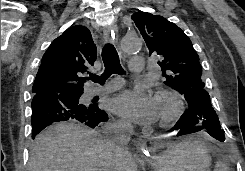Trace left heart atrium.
<instances>
[{
	"label": "left heart atrium",
	"mask_w": 245,
	"mask_h": 171,
	"mask_svg": "<svg viewBox=\"0 0 245 171\" xmlns=\"http://www.w3.org/2000/svg\"><path fill=\"white\" fill-rule=\"evenodd\" d=\"M111 109L137 124H146L159 118L157 99L143 87L125 90L111 101Z\"/></svg>",
	"instance_id": "1"
}]
</instances>
